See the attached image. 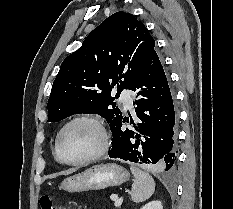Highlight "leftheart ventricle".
<instances>
[{"label":"left heart ventricle","mask_w":233,"mask_h":209,"mask_svg":"<svg viewBox=\"0 0 233 209\" xmlns=\"http://www.w3.org/2000/svg\"><path fill=\"white\" fill-rule=\"evenodd\" d=\"M100 141V133L95 125L89 122L74 123L62 135L60 155L67 161L81 159L95 152Z\"/></svg>","instance_id":"obj_1"}]
</instances>
